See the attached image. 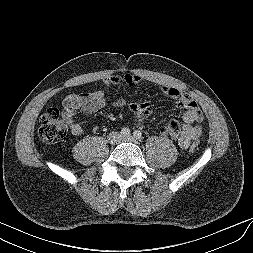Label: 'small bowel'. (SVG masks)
Returning a JSON list of instances; mask_svg holds the SVG:
<instances>
[{"mask_svg": "<svg viewBox=\"0 0 253 253\" xmlns=\"http://www.w3.org/2000/svg\"><path fill=\"white\" fill-rule=\"evenodd\" d=\"M142 80L143 78L136 74L118 73L106 78L105 84H125L134 87L140 84ZM161 90L175 101L177 107L184 110L182 126L180 127L177 120L172 119L161 129V134L177 141L180 148L187 149L190 143L199 139L202 134V127L199 124L203 120V115L196 102L180 89L170 85H162ZM106 104V96L102 90L67 95L63 101L64 116L69 122L71 133L78 136L84 131L83 127L75 121L76 118L87 117L104 108ZM114 106L117 109L127 108L122 97L116 100ZM128 108L133 113L134 118L141 123H144L152 114L151 105L145 100L135 102Z\"/></svg>", "mask_w": 253, "mask_h": 253, "instance_id": "small-bowel-1", "label": "small bowel"}]
</instances>
